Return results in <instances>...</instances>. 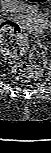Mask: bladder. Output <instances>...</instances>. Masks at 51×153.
Here are the masks:
<instances>
[{
    "instance_id": "bladder-1",
    "label": "bladder",
    "mask_w": 51,
    "mask_h": 153,
    "mask_svg": "<svg viewBox=\"0 0 51 153\" xmlns=\"http://www.w3.org/2000/svg\"><path fill=\"white\" fill-rule=\"evenodd\" d=\"M18 0H1V6L9 12H18L23 14L35 13L37 9L28 4H20Z\"/></svg>"
}]
</instances>
